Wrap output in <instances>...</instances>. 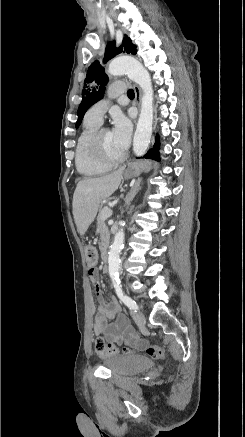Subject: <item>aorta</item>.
Segmentation results:
<instances>
[{
	"label": "aorta",
	"mask_w": 245,
	"mask_h": 437,
	"mask_svg": "<svg viewBox=\"0 0 245 437\" xmlns=\"http://www.w3.org/2000/svg\"><path fill=\"white\" fill-rule=\"evenodd\" d=\"M108 73L113 76L127 75L140 86L143 92L140 115L133 138V151L136 156H142L149 146L153 125V87L150 74L137 59L130 56L113 60L109 64ZM124 225L122 223L121 228L116 232L108 256L109 276L113 281L119 277V255L124 246Z\"/></svg>",
	"instance_id": "aorta-1"
}]
</instances>
